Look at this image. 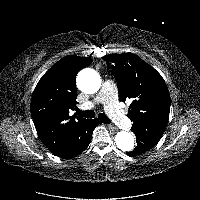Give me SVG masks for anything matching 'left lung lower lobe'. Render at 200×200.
<instances>
[{
    "instance_id": "1",
    "label": "left lung lower lobe",
    "mask_w": 200,
    "mask_h": 200,
    "mask_svg": "<svg viewBox=\"0 0 200 200\" xmlns=\"http://www.w3.org/2000/svg\"><path fill=\"white\" fill-rule=\"evenodd\" d=\"M136 141L137 146L135 147V149L131 152H127L129 156H137L143 154L157 144V142H155L154 140H150L141 136H137Z\"/></svg>"
}]
</instances>
